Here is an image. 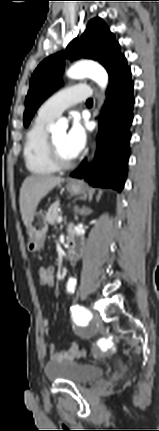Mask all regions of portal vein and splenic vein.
Here are the masks:
<instances>
[{"mask_svg": "<svg viewBox=\"0 0 159 431\" xmlns=\"http://www.w3.org/2000/svg\"><path fill=\"white\" fill-rule=\"evenodd\" d=\"M62 220H63L62 216H59V217L57 218V222H58V223L62 222Z\"/></svg>", "mask_w": 159, "mask_h": 431, "instance_id": "obj_1", "label": "portal vein and splenic vein"}]
</instances>
